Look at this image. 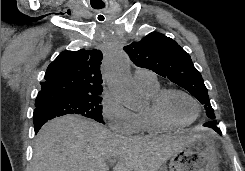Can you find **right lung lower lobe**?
Instances as JSON below:
<instances>
[{
    "instance_id": "1",
    "label": "right lung lower lobe",
    "mask_w": 245,
    "mask_h": 171,
    "mask_svg": "<svg viewBox=\"0 0 245 171\" xmlns=\"http://www.w3.org/2000/svg\"><path fill=\"white\" fill-rule=\"evenodd\" d=\"M54 117L55 116L50 112H48L47 110L41 107L36 108L33 114L35 133L39 131V129L43 124H45L48 120L53 119Z\"/></svg>"
}]
</instances>
